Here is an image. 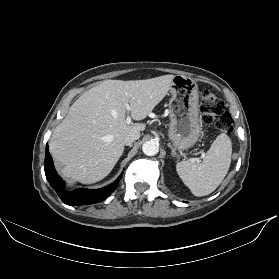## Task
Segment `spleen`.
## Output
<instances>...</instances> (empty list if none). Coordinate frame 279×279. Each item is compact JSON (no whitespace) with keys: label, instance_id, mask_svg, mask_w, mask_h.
Masks as SVG:
<instances>
[{"label":"spleen","instance_id":"3e777b00","mask_svg":"<svg viewBox=\"0 0 279 279\" xmlns=\"http://www.w3.org/2000/svg\"><path fill=\"white\" fill-rule=\"evenodd\" d=\"M232 155V143L222 133L211 144L201 163L190 160L178 162L176 171L183 183L198 197L212 193L225 178Z\"/></svg>","mask_w":279,"mask_h":279}]
</instances>
